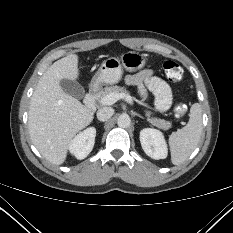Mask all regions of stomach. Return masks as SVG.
<instances>
[{"label": "stomach", "instance_id": "stomach-1", "mask_svg": "<svg viewBox=\"0 0 233 233\" xmlns=\"http://www.w3.org/2000/svg\"><path fill=\"white\" fill-rule=\"evenodd\" d=\"M146 64V59L142 54L136 52H126L120 59L111 57L104 60L92 79V86L99 87L103 84L118 83L123 74V68L129 72L142 69Z\"/></svg>", "mask_w": 233, "mask_h": 233}]
</instances>
